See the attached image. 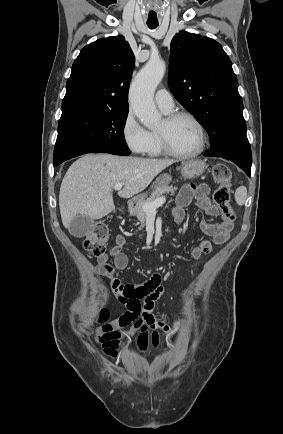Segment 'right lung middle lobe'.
<instances>
[{
	"instance_id": "obj_1",
	"label": "right lung middle lobe",
	"mask_w": 283,
	"mask_h": 434,
	"mask_svg": "<svg viewBox=\"0 0 283 434\" xmlns=\"http://www.w3.org/2000/svg\"><path fill=\"white\" fill-rule=\"evenodd\" d=\"M128 110L76 113L60 118L53 163L85 153L129 155L124 137Z\"/></svg>"
}]
</instances>
